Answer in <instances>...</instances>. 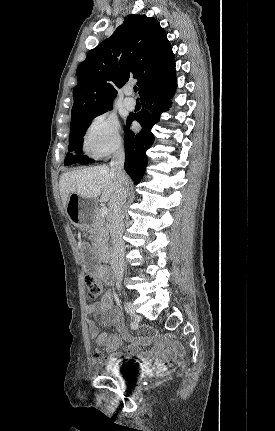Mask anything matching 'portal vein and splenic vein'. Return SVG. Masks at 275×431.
Segmentation results:
<instances>
[{"instance_id":"18ae733b","label":"portal vein and splenic vein","mask_w":275,"mask_h":431,"mask_svg":"<svg viewBox=\"0 0 275 431\" xmlns=\"http://www.w3.org/2000/svg\"><path fill=\"white\" fill-rule=\"evenodd\" d=\"M100 216L105 217L108 214V208L107 207H101L99 210Z\"/></svg>"}]
</instances>
